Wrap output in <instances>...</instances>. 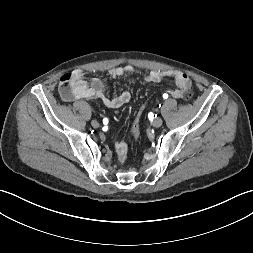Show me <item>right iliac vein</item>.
Instances as JSON below:
<instances>
[{
  "instance_id": "1",
  "label": "right iliac vein",
  "mask_w": 253,
  "mask_h": 253,
  "mask_svg": "<svg viewBox=\"0 0 253 253\" xmlns=\"http://www.w3.org/2000/svg\"><path fill=\"white\" fill-rule=\"evenodd\" d=\"M91 125L94 127V128H98L100 126L99 122L97 120H92L91 121Z\"/></svg>"
}]
</instances>
